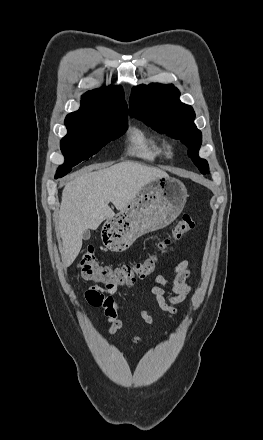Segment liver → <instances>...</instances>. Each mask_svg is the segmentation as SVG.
I'll return each instance as SVG.
<instances>
[{
	"mask_svg": "<svg viewBox=\"0 0 263 440\" xmlns=\"http://www.w3.org/2000/svg\"><path fill=\"white\" fill-rule=\"evenodd\" d=\"M166 176L161 169L132 161L75 174L63 189L57 225L64 265L70 266L78 256L84 231L96 230L105 219L115 215L109 202L122 211L144 185Z\"/></svg>",
	"mask_w": 263,
	"mask_h": 440,
	"instance_id": "liver-1",
	"label": "liver"
}]
</instances>
